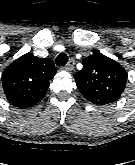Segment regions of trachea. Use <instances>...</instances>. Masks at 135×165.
<instances>
[{
	"mask_svg": "<svg viewBox=\"0 0 135 165\" xmlns=\"http://www.w3.org/2000/svg\"><path fill=\"white\" fill-rule=\"evenodd\" d=\"M67 61H68V56L65 53H60L56 57V65L57 66H64V65H66Z\"/></svg>",
	"mask_w": 135,
	"mask_h": 165,
	"instance_id": "obj_1",
	"label": "trachea"
}]
</instances>
